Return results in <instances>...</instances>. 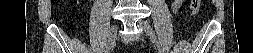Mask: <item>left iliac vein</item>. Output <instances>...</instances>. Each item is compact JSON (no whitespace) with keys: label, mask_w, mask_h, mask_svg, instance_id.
I'll return each instance as SVG.
<instances>
[{"label":"left iliac vein","mask_w":253,"mask_h":53,"mask_svg":"<svg viewBox=\"0 0 253 53\" xmlns=\"http://www.w3.org/2000/svg\"><path fill=\"white\" fill-rule=\"evenodd\" d=\"M137 24L140 28H143L145 31L148 32L153 42L157 41L156 35L147 21L139 20Z\"/></svg>","instance_id":"obj_1"}]
</instances>
